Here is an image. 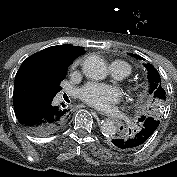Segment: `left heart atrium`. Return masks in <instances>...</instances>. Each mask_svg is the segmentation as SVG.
Wrapping results in <instances>:
<instances>
[{
    "label": "left heart atrium",
    "instance_id": "left-heart-atrium-1",
    "mask_svg": "<svg viewBox=\"0 0 177 177\" xmlns=\"http://www.w3.org/2000/svg\"><path fill=\"white\" fill-rule=\"evenodd\" d=\"M78 95L82 101L99 110H107L121 99L117 88L97 83H88L78 91Z\"/></svg>",
    "mask_w": 177,
    "mask_h": 177
}]
</instances>
